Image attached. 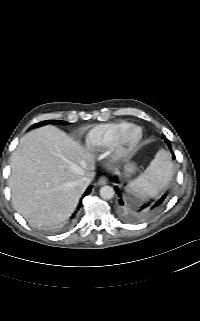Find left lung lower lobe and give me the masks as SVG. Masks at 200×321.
I'll return each instance as SVG.
<instances>
[{"label": "left lung lower lobe", "instance_id": "1", "mask_svg": "<svg viewBox=\"0 0 200 321\" xmlns=\"http://www.w3.org/2000/svg\"><path fill=\"white\" fill-rule=\"evenodd\" d=\"M170 146V143L167 142ZM117 181V179H116ZM115 191L119 196V207L120 210L123 212L124 216L130 220H140L146 217L152 211L158 209L166 199V194L162 196L159 200L153 203H147L142 206H128L125 199L122 197L121 192L119 191L118 187H115Z\"/></svg>", "mask_w": 200, "mask_h": 321}]
</instances>
